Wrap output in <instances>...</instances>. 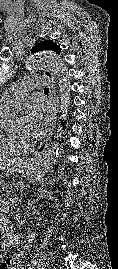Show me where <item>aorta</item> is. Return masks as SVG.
Masks as SVG:
<instances>
[{"label":"aorta","mask_w":118,"mask_h":269,"mask_svg":"<svg viewBox=\"0 0 118 269\" xmlns=\"http://www.w3.org/2000/svg\"><path fill=\"white\" fill-rule=\"evenodd\" d=\"M43 68H50L59 79L61 110L63 111L64 117L67 114V109L71 101V83L67 68L59 56L48 51L37 52L30 56L26 61V70L28 72H35ZM20 119L18 113H11L4 117L1 126L7 130H13L18 127ZM59 152L58 142L47 148V150L34 161L30 170V176L32 178H39L46 175L56 163L59 157Z\"/></svg>","instance_id":"762f6f07"}]
</instances>
